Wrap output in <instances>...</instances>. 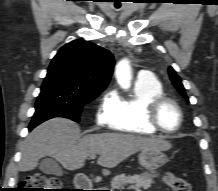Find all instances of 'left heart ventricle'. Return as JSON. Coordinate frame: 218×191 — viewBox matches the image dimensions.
Returning <instances> with one entry per match:
<instances>
[{"label":"left heart ventricle","mask_w":218,"mask_h":191,"mask_svg":"<svg viewBox=\"0 0 218 191\" xmlns=\"http://www.w3.org/2000/svg\"><path fill=\"white\" fill-rule=\"evenodd\" d=\"M160 125L167 130H174L179 124V113L170 103L164 104L158 113Z\"/></svg>","instance_id":"b2bd125f"}]
</instances>
